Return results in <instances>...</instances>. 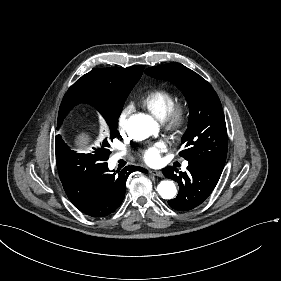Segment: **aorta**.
<instances>
[{"label": "aorta", "mask_w": 281, "mask_h": 281, "mask_svg": "<svg viewBox=\"0 0 281 281\" xmlns=\"http://www.w3.org/2000/svg\"><path fill=\"white\" fill-rule=\"evenodd\" d=\"M157 130V123L151 116L145 114L133 115L127 123L128 133L136 140H144ZM157 191L163 199H173L177 193L174 182L170 180L161 181L157 186Z\"/></svg>", "instance_id": "obj_1"}]
</instances>
